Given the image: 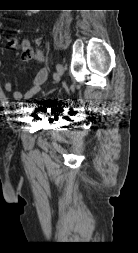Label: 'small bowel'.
Listing matches in <instances>:
<instances>
[{
    "label": "small bowel",
    "instance_id": "1",
    "mask_svg": "<svg viewBox=\"0 0 138 253\" xmlns=\"http://www.w3.org/2000/svg\"><path fill=\"white\" fill-rule=\"evenodd\" d=\"M28 48H29V44L27 42L23 43L22 56H23L24 51ZM1 64H2V62L0 59V66H1ZM47 78H48L47 69L41 68L37 71V73L33 77L32 81H31L30 88L25 93L18 91V90H14V85L11 81H7L4 84V89L6 92L11 93L13 99L16 101L30 100L40 91L41 86L45 83Z\"/></svg>",
    "mask_w": 138,
    "mask_h": 253
}]
</instances>
